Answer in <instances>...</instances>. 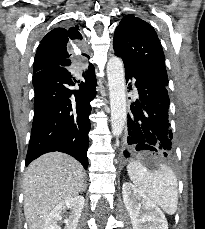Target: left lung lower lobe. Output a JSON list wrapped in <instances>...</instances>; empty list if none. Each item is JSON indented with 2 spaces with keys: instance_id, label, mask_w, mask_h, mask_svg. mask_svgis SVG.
<instances>
[{
  "instance_id": "obj_1",
  "label": "left lung lower lobe",
  "mask_w": 205,
  "mask_h": 229,
  "mask_svg": "<svg viewBox=\"0 0 205 229\" xmlns=\"http://www.w3.org/2000/svg\"><path fill=\"white\" fill-rule=\"evenodd\" d=\"M125 77L126 83L131 78L136 79L139 98L131 106L132 114H128L127 149L124 155L128 157L135 150H150L163 157H172L173 135L168 120L167 87L126 67Z\"/></svg>"
}]
</instances>
